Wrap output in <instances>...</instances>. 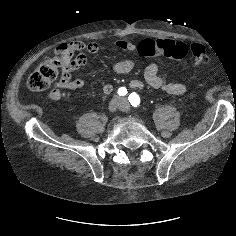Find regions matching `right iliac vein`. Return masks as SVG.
<instances>
[{"label": "right iliac vein", "mask_w": 236, "mask_h": 236, "mask_svg": "<svg viewBox=\"0 0 236 236\" xmlns=\"http://www.w3.org/2000/svg\"><path fill=\"white\" fill-rule=\"evenodd\" d=\"M121 101L118 98H114L109 103L108 109L110 112H115L117 109L121 108Z\"/></svg>", "instance_id": "63e3f726"}]
</instances>
